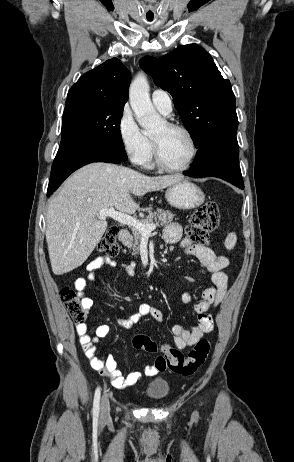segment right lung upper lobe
Wrapping results in <instances>:
<instances>
[{
    "instance_id": "obj_1",
    "label": "right lung upper lobe",
    "mask_w": 294,
    "mask_h": 462,
    "mask_svg": "<svg viewBox=\"0 0 294 462\" xmlns=\"http://www.w3.org/2000/svg\"><path fill=\"white\" fill-rule=\"evenodd\" d=\"M131 82L130 72L117 58L83 74L70 88L65 105L78 102L125 104Z\"/></svg>"
}]
</instances>
